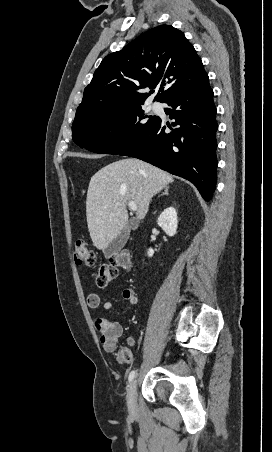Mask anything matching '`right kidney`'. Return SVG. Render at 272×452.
<instances>
[{
  "label": "right kidney",
  "mask_w": 272,
  "mask_h": 452,
  "mask_svg": "<svg viewBox=\"0 0 272 452\" xmlns=\"http://www.w3.org/2000/svg\"><path fill=\"white\" fill-rule=\"evenodd\" d=\"M157 223L168 236H174L177 232L178 226L176 209L173 207L164 209V211L159 215ZM147 254L149 257H152L154 250L149 248Z\"/></svg>",
  "instance_id": "obj_1"
}]
</instances>
